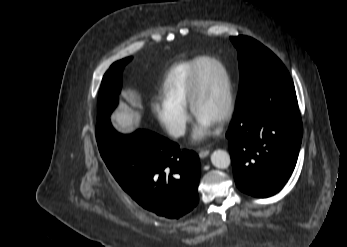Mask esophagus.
<instances>
[{"instance_id":"1","label":"esophagus","mask_w":347,"mask_h":247,"mask_svg":"<svg viewBox=\"0 0 347 247\" xmlns=\"http://www.w3.org/2000/svg\"><path fill=\"white\" fill-rule=\"evenodd\" d=\"M209 153H210L209 149H207V148L201 149L199 151V157L200 158H205V157H207L209 155Z\"/></svg>"}]
</instances>
